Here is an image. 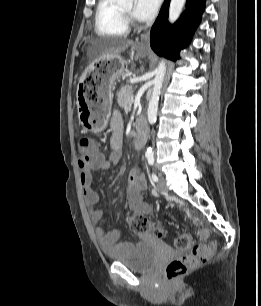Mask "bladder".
Segmentation results:
<instances>
[{
    "label": "bladder",
    "instance_id": "obj_1",
    "mask_svg": "<svg viewBox=\"0 0 261 306\" xmlns=\"http://www.w3.org/2000/svg\"><path fill=\"white\" fill-rule=\"evenodd\" d=\"M151 239L157 240L154 237ZM106 258L108 261L124 264L130 270L146 272L156 264L158 255L154 245L144 239L133 246L128 253L107 254Z\"/></svg>",
    "mask_w": 261,
    "mask_h": 306
}]
</instances>
